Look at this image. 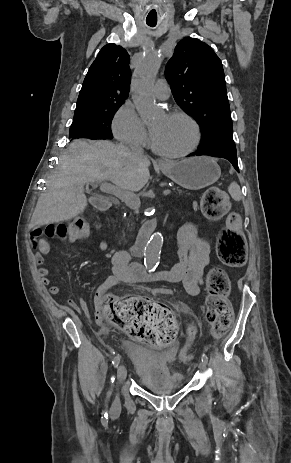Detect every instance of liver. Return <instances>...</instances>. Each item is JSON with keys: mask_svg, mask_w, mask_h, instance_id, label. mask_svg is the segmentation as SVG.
Instances as JSON below:
<instances>
[{"mask_svg": "<svg viewBox=\"0 0 291 463\" xmlns=\"http://www.w3.org/2000/svg\"><path fill=\"white\" fill-rule=\"evenodd\" d=\"M150 161L124 145L109 141H73L59 159L47 191L38 199L31 225L42 226L70 220L83 213L86 183L109 180L129 191H139L148 182Z\"/></svg>", "mask_w": 291, "mask_h": 463, "instance_id": "obj_1", "label": "liver"}]
</instances>
